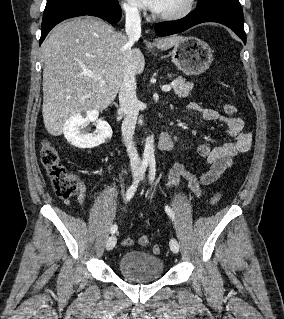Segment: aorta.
Returning a JSON list of instances; mask_svg holds the SVG:
<instances>
[{"label": "aorta", "instance_id": "1", "mask_svg": "<svg viewBox=\"0 0 284 319\" xmlns=\"http://www.w3.org/2000/svg\"><path fill=\"white\" fill-rule=\"evenodd\" d=\"M153 138L147 137L145 147H144V152H143V158L145 160H154L155 155H154V144H153Z\"/></svg>", "mask_w": 284, "mask_h": 319}]
</instances>
